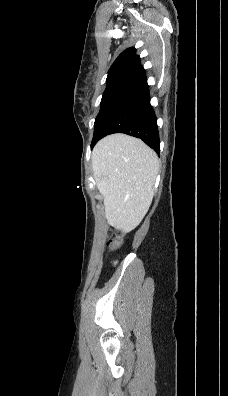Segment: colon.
<instances>
[{
    "mask_svg": "<svg viewBox=\"0 0 228 396\" xmlns=\"http://www.w3.org/2000/svg\"><path fill=\"white\" fill-rule=\"evenodd\" d=\"M116 232H117V236H116V238H114V239H112V240H110L108 243H107V251L108 252H112V251H115V250H117L119 247H120V244H121V235L123 234V230L121 229V228H116Z\"/></svg>",
    "mask_w": 228,
    "mask_h": 396,
    "instance_id": "colon-1",
    "label": "colon"
}]
</instances>
